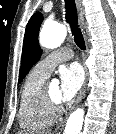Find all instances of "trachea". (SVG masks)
<instances>
[{"label":"trachea","mask_w":116,"mask_h":134,"mask_svg":"<svg viewBox=\"0 0 116 134\" xmlns=\"http://www.w3.org/2000/svg\"><path fill=\"white\" fill-rule=\"evenodd\" d=\"M65 10V19L70 26L72 35L74 36V41L81 50H85L86 46L84 37L78 25V14L75 1L65 0Z\"/></svg>","instance_id":"3493384b"}]
</instances>
